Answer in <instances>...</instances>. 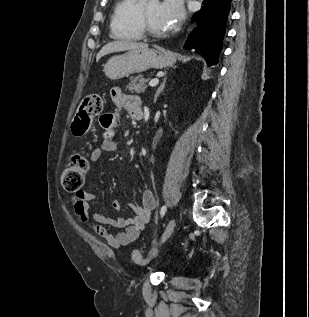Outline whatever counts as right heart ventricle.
I'll use <instances>...</instances> for the list:
<instances>
[{"mask_svg": "<svg viewBox=\"0 0 309 317\" xmlns=\"http://www.w3.org/2000/svg\"><path fill=\"white\" fill-rule=\"evenodd\" d=\"M140 0H119L114 8L110 28L120 40H140L143 31L139 24Z\"/></svg>", "mask_w": 309, "mask_h": 317, "instance_id": "e07e8e85", "label": "right heart ventricle"}]
</instances>
